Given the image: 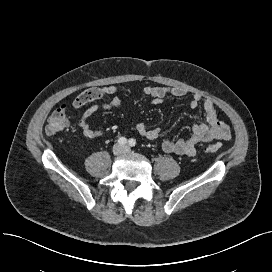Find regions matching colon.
Instances as JSON below:
<instances>
[{"instance_id":"5ec220e1","label":"colon","mask_w":272,"mask_h":272,"mask_svg":"<svg viewBox=\"0 0 272 272\" xmlns=\"http://www.w3.org/2000/svg\"><path fill=\"white\" fill-rule=\"evenodd\" d=\"M67 108L61 107L55 110L47 120L46 132L50 135L63 131L68 127V120L66 117ZM205 153H215L218 150L216 145H208L204 147Z\"/></svg>"}]
</instances>
